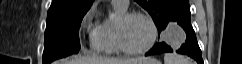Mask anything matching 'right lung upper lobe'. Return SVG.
<instances>
[{
    "label": "right lung upper lobe",
    "mask_w": 242,
    "mask_h": 64,
    "mask_svg": "<svg viewBox=\"0 0 242 64\" xmlns=\"http://www.w3.org/2000/svg\"><path fill=\"white\" fill-rule=\"evenodd\" d=\"M94 0H52L47 18L87 12Z\"/></svg>",
    "instance_id": "cb5924a9"
}]
</instances>
